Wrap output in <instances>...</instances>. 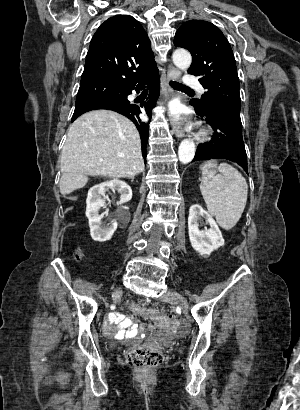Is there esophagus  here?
I'll return each instance as SVG.
<instances>
[{
    "instance_id": "1",
    "label": "esophagus",
    "mask_w": 300,
    "mask_h": 410,
    "mask_svg": "<svg viewBox=\"0 0 300 410\" xmlns=\"http://www.w3.org/2000/svg\"><path fill=\"white\" fill-rule=\"evenodd\" d=\"M180 74H181V73H180L179 70H177V69L171 67L170 70H169V72H168V81L178 79V78L180 77ZM169 90L171 91V88H169ZM171 132H172L173 134H175V136H176L177 138H182L183 135H184L182 126H181L179 123H176V122H173V123H172V130H171Z\"/></svg>"
}]
</instances>
